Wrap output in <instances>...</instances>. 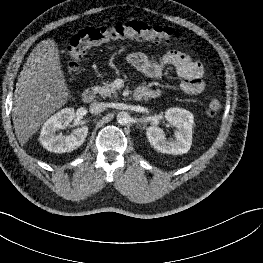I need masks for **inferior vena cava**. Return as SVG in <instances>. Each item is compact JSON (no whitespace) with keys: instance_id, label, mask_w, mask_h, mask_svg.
Here are the masks:
<instances>
[{"instance_id":"inferior-vena-cava-1","label":"inferior vena cava","mask_w":263,"mask_h":263,"mask_svg":"<svg viewBox=\"0 0 263 263\" xmlns=\"http://www.w3.org/2000/svg\"><path fill=\"white\" fill-rule=\"evenodd\" d=\"M106 105L103 102H93L90 104L89 110L92 114H99L103 112Z\"/></svg>"}]
</instances>
